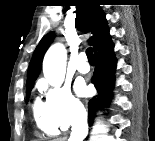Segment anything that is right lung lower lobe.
<instances>
[{
	"label": "right lung lower lobe",
	"instance_id": "right-lung-lower-lobe-1",
	"mask_svg": "<svg viewBox=\"0 0 155 141\" xmlns=\"http://www.w3.org/2000/svg\"><path fill=\"white\" fill-rule=\"evenodd\" d=\"M96 58V67L91 82L95 85L99 95L98 99L90 100L88 104L89 125L94 119V112L101 103H107L111 98V90L114 83L116 59L114 44L109 32L103 35L93 46Z\"/></svg>",
	"mask_w": 155,
	"mask_h": 141
}]
</instances>
